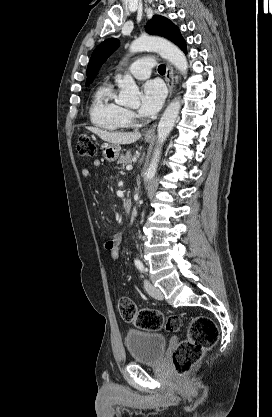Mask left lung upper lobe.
Returning <instances> with one entry per match:
<instances>
[{
    "label": "left lung upper lobe",
    "instance_id": "5c2ea615",
    "mask_svg": "<svg viewBox=\"0 0 272 417\" xmlns=\"http://www.w3.org/2000/svg\"><path fill=\"white\" fill-rule=\"evenodd\" d=\"M147 32L151 35H160L170 39L179 46L182 51L186 49V43L182 38L178 27L165 17L155 15L150 22ZM118 46V40L108 39L96 47L87 67L86 85H89L94 80L102 64L118 48Z\"/></svg>",
    "mask_w": 272,
    "mask_h": 417
}]
</instances>
